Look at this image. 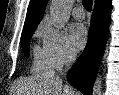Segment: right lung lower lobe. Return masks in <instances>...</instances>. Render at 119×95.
<instances>
[{"label": "right lung lower lobe", "instance_id": "1", "mask_svg": "<svg viewBox=\"0 0 119 95\" xmlns=\"http://www.w3.org/2000/svg\"><path fill=\"white\" fill-rule=\"evenodd\" d=\"M111 9V0L94 6L87 45L68 73V82L84 95L92 94V86L108 38Z\"/></svg>", "mask_w": 119, "mask_h": 95}]
</instances>
